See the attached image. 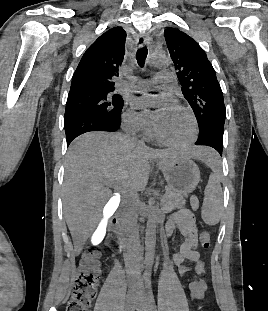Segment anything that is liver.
I'll list each match as a JSON object with an SVG mask.
<instances>
[{
    "label": "liver",
    "instance_id": "obj_1",
    "mask_svg": "<svg viewBox=\"0 0 268 311\" xmlns=\"http://www.w3.org/2000/svg\"><path fill=\"white\" fill-rule=\"evenodd\" d=\"M204 148H194L190 156L202 160ZM178 156L171 150H150L123 134L89 132L69 146L63 183L64 215L74 250L79 254L98 226L105 204L112 195L109 182L124 195L137 193L147 185L151 163Z\"/></svg>",
    "mask_w": 268,
    "mask_h": 311
}]
</instances>
